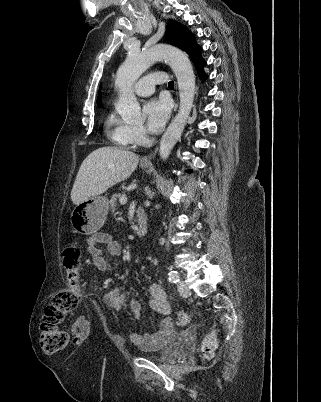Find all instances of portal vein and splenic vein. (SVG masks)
Returning a JSON list of instances; mask_svg holds the SVG:
<instances>
[{
    "mask_svg": "<svg viewBox=\"0 0 321 402\" xmlns=\"http://www.w3.org/2000/svg\"><path fill=\"white\" fill-rule=\"evenodd\" d=\"M119 202H120V204H126V203H127V198L124 197V196H122V197L119 199Z\"/></svg>",
    "mask_w": 321,
    "mask_h": 402,
    "instance_id": "18ae733b",
    "label": "portal vein and splenic vein"
}]
</instances>
